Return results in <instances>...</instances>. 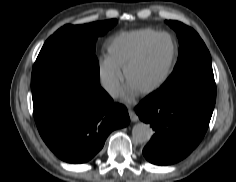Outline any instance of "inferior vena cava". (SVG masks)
<instances>
[{
	"label": "inferior vena cava",
	"mask_w": 236,
	"mask_h": 182,
	"mask_svg": "<svg viewBox=\"0 0 236 182\" xmlns=\"http://www.w3.org/2000/svg\"><path fill=\"white\" fill-rule=\"evenodd\" d=\"M102 87L112 96L116 98L120 93V84L118 81L105 79L102 81Z\"/></svg>",
	"instance_id": "602c4592"
}]
</instances>
